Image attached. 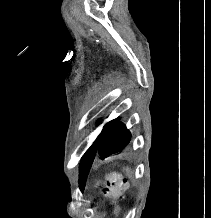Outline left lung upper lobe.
Returning <instances> with one entry per match:
<instances>
[{
  "label": "left lung upper lobe",
  "instance_id": "1",
  "mask_svg": "<svg viewBox=\"0 0 211 218\" xmlns=\"http://www.w3.org/2000/svg\"><path fill=\"white\" fill-rule=\"evenodd\" d=\"M100 123L101 121L97 122V124ZM129 142L130 132L119 119L108 122L81 159L79 173L80 188L82 189L84 187L92 163L98 154L102 158H105L118 153L124 149Z\"/></svg>",
  "mask_w": 211,
  "mask_h": 218
}]
</instances>
